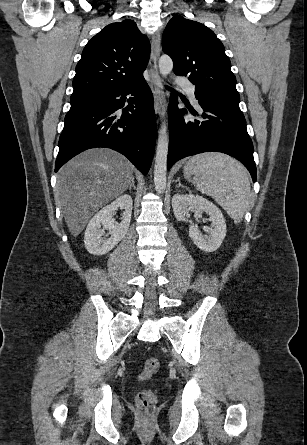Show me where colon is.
I'll use <instances>...</instances> for the list:
<instances>
[{"label":"colon","instance_id":"1","mask_svg":"<svg viewBox=\"0 0 307 445\" xmlns=\"http://www.w3.org/2000/svg\"><path fill=\"white\" fill-rule=\"evenodd\" d=\"M158 368H159L158 359L149 358L145 362L141 372L139 373L138 376L139 380L141 381L149 380L152 377V375L158 370ZM136 401L140 408L144 410H149L155 405L156 396L152 390L144 389L137 394Z\"/></svg>","mask_w":307,"mask_h":445}]
</instances>
